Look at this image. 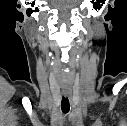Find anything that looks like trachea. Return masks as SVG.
Here are the masks:
<instances>
[{"mask_svg": "<svg viewBox=\"0 0 127 126\" xmlns=\"http://www.w3.org/2000/svg\"><path fill=\"white\" fill-rule=\"evenodd\" d=\"M61 109L64 114H67L69 112L70 104L67 97H62Z\"/></svg>", "mask_w": 127, "mask_h": 126, "instance_id": "3493384b", "label": "trachea"}]
</instances>
